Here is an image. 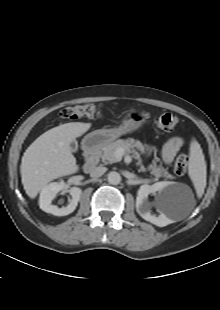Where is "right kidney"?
<instances>
[{
	"mask_svg": "<svg viewBox=\"0 0 220 310\" xmlns=\"http://www.w3.org/2000/svg\"><path fill=\"white\" fill-rule=\"evenodd\" d=\"M65 188L66 184L63 181L52 182L42 188L39 197L40 208L46 213H51L55 216H66L72 213L76 209L82 193V190L78 187H71L69 189L72 199L66 207L58 208L51 204L52 200L56 197V194Z\"/></svg>",
	"mask_w": 220,
	"mask_h": 310,
	"instance_id": "right-kidney-1",
	"label": "right kidney"
}]
</instances>
